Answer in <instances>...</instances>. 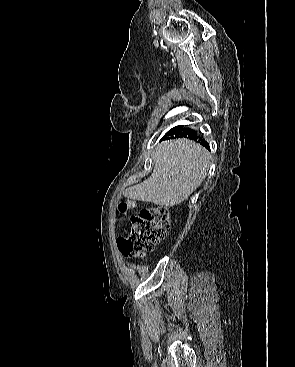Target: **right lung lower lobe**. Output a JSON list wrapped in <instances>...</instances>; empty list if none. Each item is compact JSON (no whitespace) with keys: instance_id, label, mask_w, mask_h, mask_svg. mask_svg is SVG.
<instances>
[{"instance_id":"98d812e1","label":"right lung lower lobe","mask_w":295,"mask_h":367,"mask_svg":"<svg viewBox=\"0 0 295 367\" xmlns=\"http://www.w3.org/2000/svg\"><path fill=\"white\" fill-rule=\"evenodd\" d=\"M165 136L168 137V139L169 138H180V137L190 138L194 141H197L198 143H200L205 148L210 149L209 144L204 139L199 137L195 130L190 129V128H184L182 126H176L172 129H170L165 134Z\"/></svg>"}]
</instances>
